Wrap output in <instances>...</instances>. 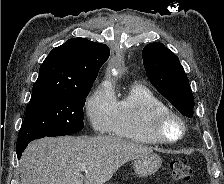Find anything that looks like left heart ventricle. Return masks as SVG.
Returning <instances> with one entry per match:
<instances>
[{
	"mask_svg": "<svg viewBox=\"0 0 224 184\" xmlns=\"http://www.w3.org/2000/svg\"><path fill=\"white\" fill-rule=\"evenodd\" d=\"M166 131L167 134L171 137H175L180 133V127L177 123L175 122H170L167 126H166Z\"/></svg>",
	"mask_w": 224,
	"mask_h": 184,
	"instance_id": "left-heart-ventricle-1",
	"label": "left heart ventricle"
}]
</instances>
